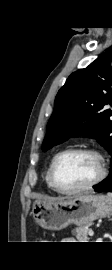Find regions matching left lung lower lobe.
Segmentation results:
<instances>
[{
	"mask_svg": "<svg viewBox=\"0 0 112 270\" xmlns=\"http://www.w3.org/2000/svg\"><path fill=\"white\" fill-rule=\"evenodd\" d=\"M96 192H112V161L110 174L106 179L100 182L98 185L93 186Z\"/></svg>",
	"mask_w": 112,
	"mask_h": 270,
	"instance_id": "1",
	"label": "left lung lower lobe"
}]
</instances>
